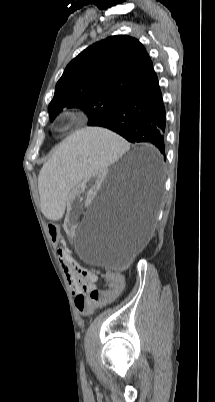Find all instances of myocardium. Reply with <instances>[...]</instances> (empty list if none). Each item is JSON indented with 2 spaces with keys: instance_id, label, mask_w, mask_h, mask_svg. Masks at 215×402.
I'll use <instances>...</instances> for the list:
<instances>
[{
  "instance_id": "1",
  "label": "myocardium",
  "mask_w": 215,
  "mask_h": 402,
  "mask_svg": "<svg viewBox=\"0 0 215 402\" xmlns=\"http://www.w3.org/2000/svg\"><path fill=\"white\" fill-rule=\"evenodd\" d=\"M74 120V114L70 111H63L59 114L56 120V125L59 131H67Z\"/></svg>"
}]
</instances>
